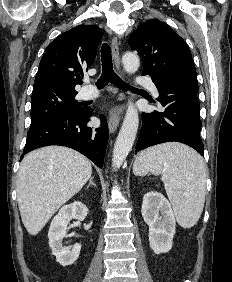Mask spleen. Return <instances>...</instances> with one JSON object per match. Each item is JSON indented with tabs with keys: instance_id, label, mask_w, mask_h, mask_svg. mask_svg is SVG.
I'll return each instance as SVG.
<instances>
[{
	"instance_id": "3e777b00",
	"label": "spleen",
	"mask_w": 232,
	"mask_h": 282,
	"mask_svg": "<svg viewBox=\"0 0 232 282\" xmlns=\"http://www.w3.org/2000/svg\"><path fill=\"white\" fill-rule=\"evenodd\" d=\"M133 172L162 176L177 222L193 227L203 211L206 193V166L191 148L167 143L148 148L137 156Z\"/></svg>"
}]
</instances>
